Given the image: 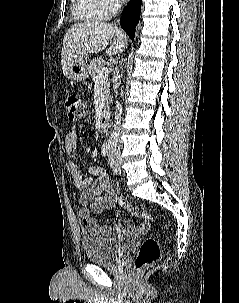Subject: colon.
I'll return each instance as SVG.
<instances>
[{
    "label": "colon",
    "mask_w": 239,
    "mask_h": 303,
    "mask_svg": "<svg viewBox=\"0 0 239 303\" xmlns=\"http://www.w3.org/2000/svg\"><path fill=\"white\" fill-rule=\"evenodd\" d=\"M66 109L68 119L70 121H78L88 113L86 101L77 94H70L66 98ZM115 204L118 208L130 212L135 217L140 218L144 226L147 228L152 224V215L142 206H134L123 198H117ZM161 256V249L157 237H148L141 244L135 259V267L137 270L147 268L156 263Z\"/></svg>",
    "instance_id": "colon-1"
}]
</instances>
